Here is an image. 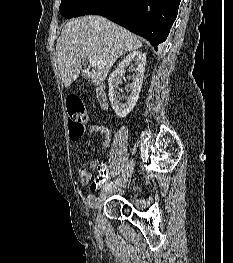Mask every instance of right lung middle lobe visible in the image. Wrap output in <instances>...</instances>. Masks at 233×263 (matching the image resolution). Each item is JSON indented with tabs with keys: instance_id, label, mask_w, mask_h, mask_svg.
<instances>
[{
	"instance_id": "obj_1",
	"label": "right lung middle lobe",
	"mask_w": 233,
	"mask_h": 263,
	"mask_svg": "<svg viewBox=\"0 0 233 263\" xmlns=\"http://www.w3.org/2000/svg\"><path fill=\"white\" fill-rule=\"evenodd\" d=\"M107 1L109 0H61L59 11L66 18L82 16L90 14L92 9Z\"/></svg>"
}]
</instances>
